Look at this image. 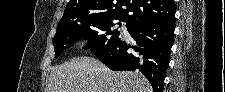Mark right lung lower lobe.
<instances>
[{
	"label": "right lung lower lobe",
	"instance_id": "obj_1",
	"mask_svg": "<svg viewBox=\"0 0 225 92\" xmlns=\"http://www.w3.org/2000/svg\"><path fill=\"white\" fill-rule=\"evenodd\" d=\"M174 30L175 16L168 20L143 21L128 31L136 46L120 41L93 53L111 70L141 71L151 83L153 91L162 92Z\"/></svg>",
	"mask_w": 225,
	"mask_h": 92
}]
</instances>
